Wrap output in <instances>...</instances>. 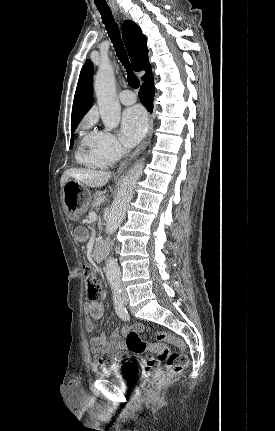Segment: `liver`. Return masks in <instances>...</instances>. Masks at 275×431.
<instances>
[{
    "label": "liver",
    "mask_w": 275,
    "mask_h": 431,
    "mask_svg": "<svg viewBox=\"0 0 275 431\" xmlns=\"http://www.w3.org/2000/svg\"><path fill=\"white\" fill-rule=\"evenodd\" d=\"M73 178L91 188H100L109 181L111 178L110 172L95 171L86 169H68L66 170L60 180V185H63L70 179Z\"/></svg>",
    "instance_id": "obj_1"
}]
</instances>
